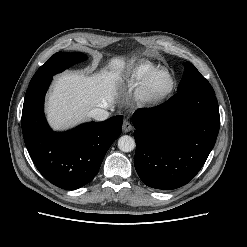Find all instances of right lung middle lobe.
<instances>
[{"instance_id":"obj_1","label":"right lung middle lobe","mask_w":247,"mask_h":247,"mask_svg":"<svg viewBox=\"0 0 247 247\" xmlns=\"http://www.w3.org/2000/svg\"><path fill=\"white\" fill-rule=\"evenodd\" d=\"M87 59L83 53L57 52L42 65L32 77L29 84H33L47 77L53 76L67 69L68 67L80 63Z\"/></svg>"}]
</instances>
